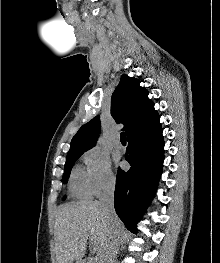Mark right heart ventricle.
Instances as JSON below:
<instances>
[{
    "label": "right heart ventricle",
    "instance_id": "e07e8e85",
    "mask_svg": "<svg viewBox=\"0 0 220 263\" xmlns=\"http://www.w3.org/2000/svg\"><path fill=\"white\" fill-rule=\"evenodd\" d=\"M69 190L75 199L86 200L93 195L87 171L77 166L73 169L69 179Z\"/></svg>",
    "mask_w": 220,
    "mask_h": 263
}]
</instances>
